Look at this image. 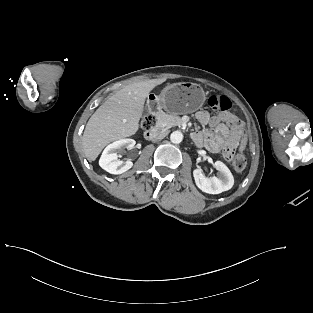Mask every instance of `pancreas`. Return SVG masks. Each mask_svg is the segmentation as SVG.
<instances>
[{"instance_id":"obj_1","label":"pancreas","mask_w":313,"mask_h":313,"mask_svg":"<svg viewBox=\"0 0 313 313\" xmlns=\"http://www.w3.org/2000/svg\"><path fill=\"white\" fill-rule=\"evenodd\" d=\"M182 123V119L175 114H166L163 111L156 114V125L159 128L167 130L174 126H181Z\"/></svg>"}]
</instances>
